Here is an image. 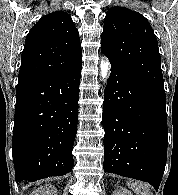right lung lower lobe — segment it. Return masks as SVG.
Segmentation results:
<instances>
[{
	"mask_svg": "<svg viewBox=\"0 0 178 195\" xmlns=\"http://www.w3.org/2000/svg\"><path fill=\"white\" fill-rule=\"evenodd\" d=\"M82 64L18 80L12 137L15 179L62 176L74 166Z\"/></svg>",
	"mask_w": 178,
	"mask_h": 195,
	"instance_id": "1",
	"label": "right lung lower lobe"
}]
</instances>
